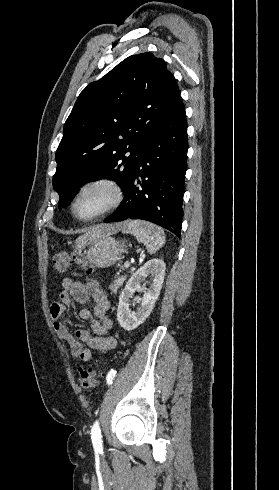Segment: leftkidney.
Masks as SVG:
<instances>
[{"mask_svg":"<svg viewBox=\"0 0 279 490\" xmlns=\"http://www.w3.org/2000/svg\"><path fill=\"white\" fill-rule=\"evenodd\" d=\"M166 266L163 260H149L144 266H141L140 270H137L130 280H128L124 290H122L119 296L118 308H117V322L120 324L123 330H135L140 324L145 322L146 318L150 316L157 298L160 296L162 290L164 278H165ZM147 278L151 280L149 282L150 288H146L145 284H148ZM141 282H145L141 286ZM136 290L144 292L142 300H134L135 304H140L136 312L130 310V298L134 296Z\"/></svg>","mask_w":279,"mask_h":490,"instance_id":"obj_1","label":"left kidney"}]
</instances>
